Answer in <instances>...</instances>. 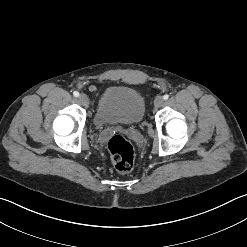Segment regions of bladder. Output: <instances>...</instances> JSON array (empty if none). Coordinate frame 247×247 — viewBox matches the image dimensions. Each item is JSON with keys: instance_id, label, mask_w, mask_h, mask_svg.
Instances as JSON below:
<instances>
[{"instance_id": "1", "label": "bladder", "mask_w": 247, "mask_h": 247, "mask_svg": "<svg viewBox=\"0 0 247 247\" xmlns=\"http://www.w3.org/2000/svg\"><path fill=\"white\" fill-rule=\"evenodd\" d=\"M145 115V101L134 88L123 85L107 87L100 96L94 124L98 127L138 124Z\"/></svg>"}]
</instances>
